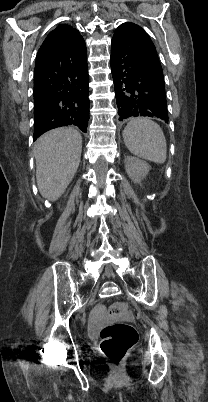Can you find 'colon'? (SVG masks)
Listing matches in <instances>:
<instances>
[{"mask_svg": "<svg viewBox=\"0 0 208 402\" xmlns=\"http://www.w3.org/2000/svg\"><path fill=\"white\" fill-rule=\"evenodd\" d=\"M124 310V305L115 304L109 309V314L117 316ZM139 335V329H135L134 324H108L100 332L102 352L108 361L118 364L124 359L127 351L134 344L135 338H139ZM115 370H118V367H115Z\"/></svg>", "mask_w": 208, "mask_h": 402, "instance_id": "colon-1", "label": "colon"}]
</instances>
